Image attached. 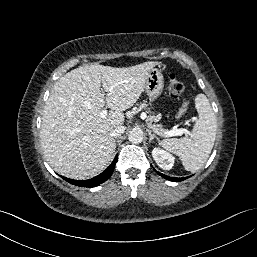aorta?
I'll return each mask as SVG.
<instances>
[{
	"mask_svg": "<svg viewBox=\"0 0 257 257\" xmlns=\"http://www.w3.org/2000/svg\"><path fill=\"white\" fill-rule=\"evenodd\" d=\"M128 140L133 144H139L143 141V132L141 129L134 128L128 135Z\"/></svg>",
	"mask_w": 257,
	"mask_h": 257,
	"instance_id": "762f6f07",
	"label": "aorta"
}]
</instances>
